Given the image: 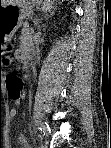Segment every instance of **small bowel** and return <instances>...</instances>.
<instances>
[{
    "label": "small bowel",
    "mask_w": 111,
    "mask_h": 148,
    "mask_svg": "<svg viewBox=\"0 0 111 148\" xmlns=\"http://www.w3.org/2000/svg\"><path fill=\"white\" fill-rule=\"evenodd\" d=\"M15 115H16V112H15L14 109H12V110L10 111V116H11V117H14ZM18 142H19V144H20V147H22V148H30V147H31V146L29 145V143L27 142L26 138H25L23 135H20V136L18 137ZM6 147L8 148L9 145L7 144Z\"/></svg>",
    "instance_id": "c3829d8e"
}]
</instances>
